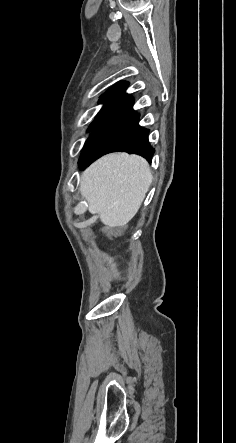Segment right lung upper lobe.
Here are the masks:
<instances>
[{
	"label": "right lung upper lobe",
	"instance_id": "right-lung-upper-lobe-1",
	"mask_svg": "<svg viewBox=\"0 0 236 443\" xmlns=\"http://www.w3.org/2000/svg\"><path fill=\"white\" fill-rule=\"evenodd\" d=\"M128 85V82L125 81L118 82L113 87H111L104 95H102L99 101L105 102L108 100V98L124 92L127 89Z\"/></svg>",
	"mask_w": 236,
	"mask_h": 443
}]
</instances>
